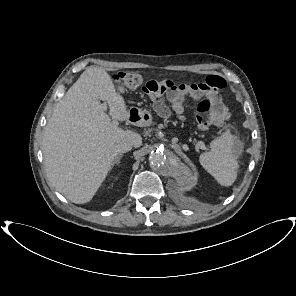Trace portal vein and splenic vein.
I'll return each mask as SVG.
<instances>
[{
	"label": "portal vein and splenic vein",
	"instance_id": "portal-vein-and-splenic-vein-1",
	"mask_svg": "<svg viewBox=\"0 0 296 296\" xmlns=\"http://www.w3.org/2000/svg\"><path fill=\"white\" fill-rule=\"evenodd\" d=\"M100 108L103 109V110H106V109H107V107H106L105 104L101 105ZM112 124H113L114 126H118V125H119L118 121H116V120H113V121H112Z\"/></svg>",
	"mask_w": 296,
	"mask_h": 296
}]
</instances>
